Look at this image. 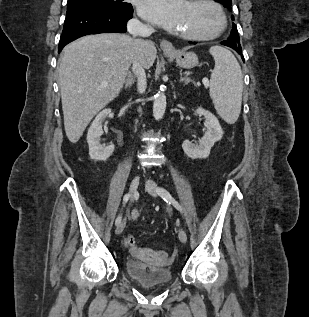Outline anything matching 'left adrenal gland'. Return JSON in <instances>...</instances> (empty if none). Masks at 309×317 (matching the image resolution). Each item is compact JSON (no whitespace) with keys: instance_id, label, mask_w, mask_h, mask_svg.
Wrapping results in <instances>:
<instances>
[{"instance_id":"a2214340","label":"left adrenal gland","mask_w":309,"mask_h":317,"mask_svg":"<svg viewBox=\"0 0 309 317\" xmlns=\"http://www.w3.org/2000/svg\"><path fill=\"white\" fill-rule=\"evenodd\" d=\"M180 83H184V85H187L188 83L190 82H193L190 78L188 77H180V80H179Z\"/></svg>"}]
</instances>
